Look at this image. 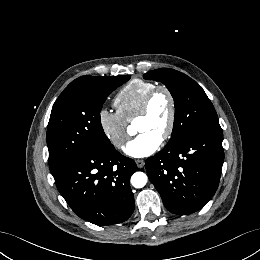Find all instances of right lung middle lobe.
Instances as JSON below:
<instances>
[{
	"mask_svg": "<svg viewBox=\"0 0 260 260\" xmlns=\"http://www.w3.org/2000/svg\"><path fill=\"white\" fill-rule=\"evenodd\" d=\"M129 79L130 76H95L61 93L47 129L51 171L73 155L113 149L103 131L100 111L107 96Z\"/></svg>",
	"mask_w": 260,
	"mask_h": 260,
	"instance_id": "dd1d6c3e",
	"label": "right lung middle lobe"
}]
</instances>
